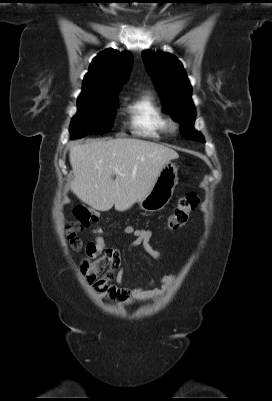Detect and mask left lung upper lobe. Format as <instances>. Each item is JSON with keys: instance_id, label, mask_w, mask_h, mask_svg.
Segmentation results:
<instances>
[{"instance_id": "5c2ea615", "label": "left lung upper lobe", "mask_w": 272, "mask_h": 401, "mask_svg": "<svg viewBox=\"0 0 272 401\" xmlns=\"http://www.w3.org/2000/svg\"><path fill=\"white\" fill-rule=\"evenodd\" d=\"M142 58L167 111L173 113L181 123L182 134L205 142L203 136L193 128L195 108L191 99L192 89L181 62L169 53L149 50L142 52Z\"/></svg>"}]
</instances>
